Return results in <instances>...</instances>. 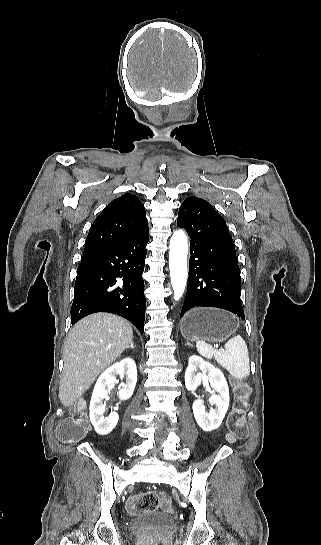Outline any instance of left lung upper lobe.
Wrapping results in <instances>:
<instances>
[{"label": "left lung upper lobe", "instance_id": "left-lung-upper-lobe-1", "mask_svg": "<svg viewBox=\"0 0 321 545\" xmlns=\"http://www.w3.org/2000/svg\"><path fill=\"white\" fill-rule=\"evenodd\" d=\"M194 203H206L205 200L201 199V198H198V197H188L183 203L181 206H186V205H190V204H194Z\"/></svg>", "mask_w": 321, "mask_h": 545}]
</instances>
